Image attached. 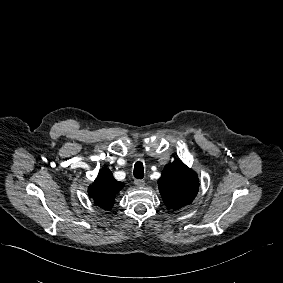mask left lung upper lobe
Listing matches in <instances>:
<instances>
[{
  "label": "left lung upper lobe",
  "instance_id": "5c2ea615",
  "mask_svg": "<svg viewBox=\"0 0 283 283\" xmlns=\"http://www.w3.org/2000/svg\"><path fill=\"white\" fill-rule=\"evenodd\" d=\"M158 186L164 203L169 208L178 210L193 201L199 183L194 171L181 161H174L165 165Z\"/></svg>",
  "mask_w": 283,
  "mask_h": 283
}]
</instances>
